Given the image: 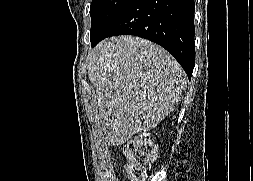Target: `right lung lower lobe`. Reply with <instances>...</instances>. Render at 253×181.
<instances>
[{
	"label": "right lung lower lobe",
	"instance_id": "obj_1",
	"mask_svg": "<svg viewBox=\"0 0 253 181\" xmlns=\"http://www.w3.org/2000/svg\"><path fill=\"white\" fill-rule=\"evenodd\" d=\"M194 11V0H131L100 34L91 35V45L121 34L148 39L169 51L190 79L195 65Z\"/></svg>",
	"mask_w": 253,
	"mask_h": 181
}]
</instances>
